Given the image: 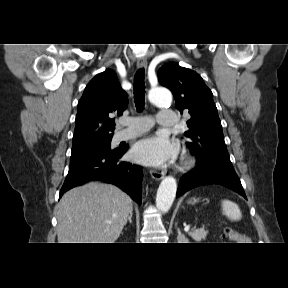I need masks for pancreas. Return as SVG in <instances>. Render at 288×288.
<instances>
[{
	"mask_svg": "<svg viewBox=\"0 0 288 288\" xmlns=\"http://www.w3.org/2000/svg\"><path fill=\"white\" fill-rule=\"evenodd\" d=\"M207 231H205L203 228L200 229H194L191 232H189V235L192 237L195 241H201L206 238Z\"/></svg>",
	"mask_w": 288,
	"mask_h": 288,
	"instance_id": "pancreas-1",
	"label": "pancreas"
}]
</instances>
